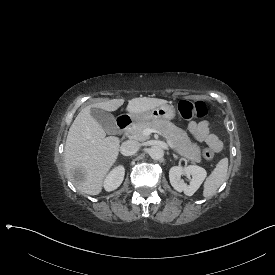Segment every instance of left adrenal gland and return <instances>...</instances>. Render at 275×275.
I'll use <instances>...</instances> for the list:
<instances>
[{"mask_svg":"<svg viewBox=\"0 0 275 275\" xmlns=\"http://www.w3.org/2000/svg\"><path fill=\"white\" fill-rule=\"evenodd\" d=\"M167 155H168V153H167ZM172 155H173V158H174V159H179V157H178V156H176V154H175V153H173Z\"/></svg>","mask_w":275,"mask_h":275,"instance_id":"obj_1","label":"left adrenal gland"}]
</instances>
